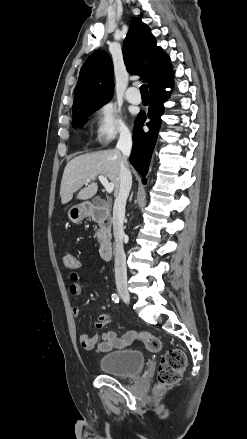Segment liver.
<instances>
[{
  "label": "liver",
  "instance_id": "liver-1",
  "mask_svg": "<svg viewBox=\"0 0 247 439\" xmlns=\"http://www.w3.org/2000/svg\"><path fill=\"white\" fill-rule=\"evenodd\" d=\"M123 155L117 149H109L87 153L73 158L64 169L61 180L60 196L62 204L73 198V193L86 185L77 195L78 199L92 198L98 190L95 179L103 175L114 184V195L117 196L120 188V164ZM90 180V184H86Z\"/></svg>",
  "mask_w": 247,
  "mask_h": 439
}]
</instances>
